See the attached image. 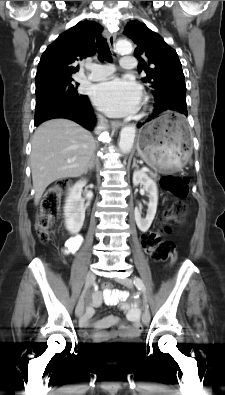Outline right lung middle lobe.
I'll list each match as a JSON object with an SVG mask.
<instances>
[{
  "mask_svg": "<svg viewBox=\"0 0 225 395\" xmlns=\"http://www.w3.org/2000/svg\"><path fill=\"white\" fill-rule=\"evenodd\" d=\"M78 83L74 84L73 79L60 80L45 83L42 85L36 86V107L40 108L53 100L64 97V96H73L80 97L82 96L77 92Z\"/></svg>",
  "mask_w": 225,
  "mask_h": 395,
  "instance_id": "right-lung-middle-lobe-1",
  "label": "right lung middle lobe"
}]
</instances>
